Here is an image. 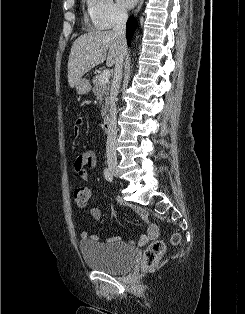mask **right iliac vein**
<instances>
[{
    "label": "right iliac vein",
    "mask_w": 245,
    "mask_h": 314,
    "mask_svg": "<svg viewBox=\"0 0 245 314\" xmlns=\"http://www.w3.org/2000/svg\"><path fill=\"white\" fill-rule=\"evenodd\" d=\"M109 170L112 172L113 175L119 176V169L115 162H109L108 164Z\"/></svg>",
    "instance_id": "right-iliac-vein-1"
}]
</instances>
